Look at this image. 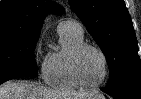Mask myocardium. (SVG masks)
<instances>
[{
  "instance_id": "myocardium-1",
  "label": "myocardium",
  "mask_w": 141,
  "mask_h": 99,
  "mask_svg": "<svg viewBox=\"0 0 141 99\" xmlns=\"http://www.w3.org/2000/svg\"><path fill=\"white\" fill-rule=\"evenodd\" d=\"M87 49H93L96 52H98L104 62V75L99 82L94 83V84H89L85 82L80 72V66H79L80 58L82 54L84 53V51H86ZM71 68H72V74L76 82L81 87L88 88V89H96L102 86L108 79L109 73H110L109 60H108L106 53L99 46L91 44V43H82L75 48L71 56Z\"/></svg>"
}]
</instances>
